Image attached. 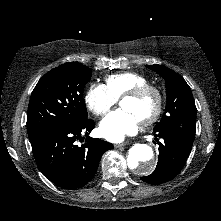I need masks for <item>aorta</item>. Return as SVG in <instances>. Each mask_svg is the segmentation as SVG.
<instances>
[{
  "label": "aorta",
  "instance_id": "762f6f07",
  "mask_svg": "<svg viewBox=\"0 0 221 221\" xmlns=\"http://www.w3.org/2000/svg\"><path fill=\"white\" fill-rule=\"evenodd\" d=\"M127 164L129 169L137 175L152 173L156 167L152 148L147 144H135L129 150Z\"/></svg>",
  "mask_w": 221,
  "mask_h": 221
}]
</instances>
